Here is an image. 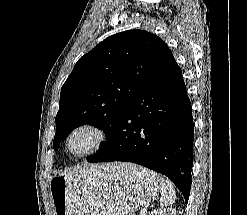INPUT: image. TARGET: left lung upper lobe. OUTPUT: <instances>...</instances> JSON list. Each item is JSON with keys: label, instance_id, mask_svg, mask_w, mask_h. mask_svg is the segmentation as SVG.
Returning <instances> with one entry per match:
<instances>
[{"label": "left lung upper lobe", "instance_id": "1", "mask_svg": "<svg viewBox=\"0 0 247 215\" xmlns=\"http://www.w3.org/2000/svg\"><path fill=\"white\" fill-rule=\"evenodd\" d=\"M168 51L156 35L129 30L106 38L82 56L61 89L54 149L83 124L100 128L108 140L142 84Z\"/></svg>", "mask_w": 247, "mask_h": 215}]
</instances>
